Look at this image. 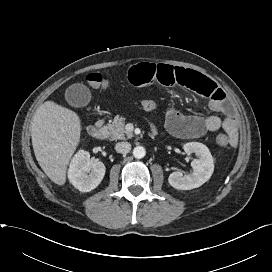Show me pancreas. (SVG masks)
<instances>
[{"instance_id": "cf45deb5", "label": "pancreas", "mask_w": 272, "mask_h": 272, "mask_svg": "<svg viewBox=\"0 0 272 272\" xmlns=\"http://www.w3.org/2000/svg\"><path fill=\"white\" fill-rule=\"evenodd\" d=\"M125 118L115 116L112 123L106 126L110 140L131 139L133 134L125 129Z\"/></svg>"}]
</instances>
